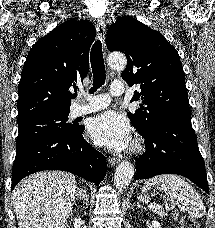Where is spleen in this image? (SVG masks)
<instances>
[{
    "label": "spleen",
    "mask_w": 215,
    "mask_h": 228,
    "mask_svg": "<svg viewBox=\"0 0 215 228\" xmlns=\"http://www.w3.org/2000/svg\"><path fill=\"white\" fill-rule=\"evenodd\" d=\"M158 188L163 190L165 194H169L171 198H175L177 202L186 206V210L191 218H203L205 216V206L196 190L192 188L191 184L176 176V174H162V176H155L150 178L144 184L142 192Z\"/></svg>",
    "instance_id": "obj_1"
}]
</instances>
